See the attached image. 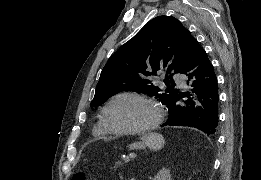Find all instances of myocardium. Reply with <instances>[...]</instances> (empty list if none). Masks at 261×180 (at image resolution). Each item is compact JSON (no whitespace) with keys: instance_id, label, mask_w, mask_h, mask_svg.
Returning <instances> with one entry per match:
<instances>
[{"instance_id":"1","label":"myocardium","mask_w":261,"mask_h":180,"mask_svg":"<svg viewBox=\"0 0 261 180\" xmlns=\"http://www.w3.org/2000/svg\"><path fill=\"white\" fill-rule=\"evenodd\" d=\"M123 97H137V98H140V99L146 101L147 103H149L151 105L152 116L148 123V126L143 131H141V132H118L110 126V124L107 120V111L114 102H116L118 99L123 98ZM160 119H161V110H160L158 101L152 95H150L144 91H141V90H126V91H122V92L115 94L104 104L102 111H101V120H102V123H103L104 127L106 128V130L111 135H113L117 138H121V139H143V138L149 137L156 131V129L160 123Z\"/></svg>"}]
</instances>
